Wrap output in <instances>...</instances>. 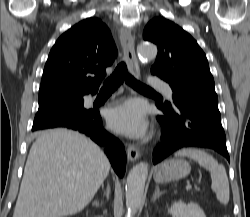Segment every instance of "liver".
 I'll list each match as a JSON object with an SVG mask.
<instances>
[{
  "label": "liver",
  "mask_w": 250,
  "mask_h": 217,
  "mask_svg": "<svg viewBox=\"0 0 250 217\" xmlns=\"http://www.w3.org/2000/svg\"><path fill=\"white\" fill-rule=\"evenodd\" d=\"M110 163L84 135L41 132L25 165L13 217H63L81 212L107 177Z\"/></svg>",
  "instance_id": "6515ba94"
}]
</instances>
